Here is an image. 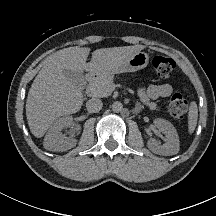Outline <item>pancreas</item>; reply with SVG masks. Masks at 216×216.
I'll list each match as a JSON object with an SVG mask.
<instances>
[{"label":"pancreas","mask_w":216,"mask_h":216,"mask_svg":"<svg viewBox=\"0 0 216 216\" xmlns=\"http://www.w3.org/2000/svg\"><path fill=\"white\" fill-rule=\"evenodd\" d=\"M114 90L113 77L111 75H102L94 78L88 85L90 95L94 97H107ZM140 101L151 110H158L156 103L151 102L146 96L143 88L138 90Z\"/></svg>","instance_id":"cf45deb5"}]
</instances>
